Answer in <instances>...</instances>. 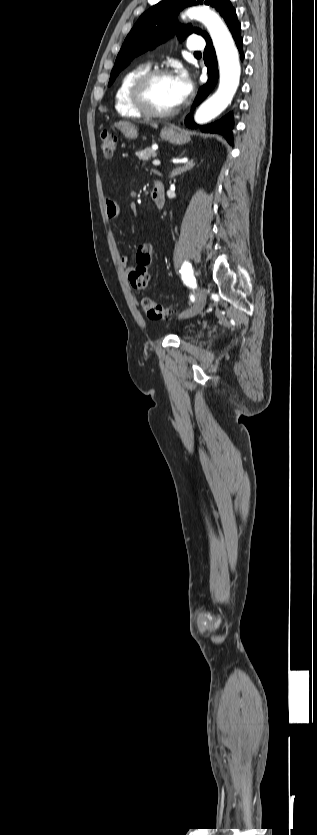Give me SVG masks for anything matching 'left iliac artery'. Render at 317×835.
<instances>
[{"label": "left iliac artery", "mask_w": 317, "mask_h": 835, "mask_svg": "<svg viewBox=\"0 0 317 835\" xmlns=\"http://www.w3.org/2000/svg\"><path fill=\"white\" fill-rule=\"evenodd\" d=\"M182 280L191 288H197L196 279L193 275L191 264L185 261L180 269Z\"/></svg>", "instance_id": "left-iliac-artery-1"}]
</instances>
